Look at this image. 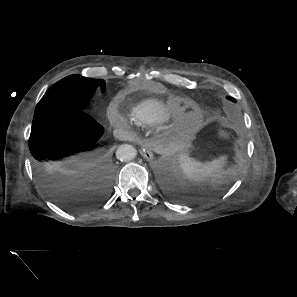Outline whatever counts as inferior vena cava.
<instances>
[{
  "label": "inferior vena cava",
  "instance_id": "inferior-vena-cava-1",
  "mask_svg": "<svg viewBox=\"0 0 297 297\" xmlns=\"http://www.w3.org/2000/svg\"><path fill=\"white\" fill-rule=\"evenodd\" d=\"M114 135L119 138V139H122V140H126L130 137V134L123 130V129H115L114 130Z\"/></svg>",
  "mask_w": 297,
  "mask_h": 297
}]
</instances>
